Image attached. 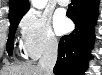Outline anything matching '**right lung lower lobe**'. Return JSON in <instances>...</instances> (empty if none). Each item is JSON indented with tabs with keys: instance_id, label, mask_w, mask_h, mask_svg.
<instances>
[{
	"instance_id": "obj_1",
	"label": "right lung lower lobe",
	"mask_w": 102,
	"mask_h": 75,
	"mask_svg": "<svg viewBox=\"0 0 102 75\" xmlns=\"http://www.w3.org/2000/svg\"><path fill=\"white\" fill-rule=\"evenodd\" d=\"M98 11L97 0H71L67 16L75 23V30L61 38L55 75H83L94 40L92 25Z\"/></svg>"
}]
</instances>
